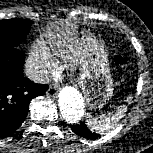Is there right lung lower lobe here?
<instances>
[{
	"mask_svg": "<svg viewBox=\"0 0 153 153\" xmlns=\"http://www.w3.org/2000/svg\"><path fill=\"white\" fill-rule=\"evenodd\" d=\"M25 55L18 48L0 46V139L12 135L24 122L30 101L44 95L47 85L24 77Z\"/></svg>",
	"mask_w": 153,
	"mask_h": 153,
	"instance_id": "right-lung-lower-lobe-1",
	"label": "right lung lower lobe"
}]
</instances>
